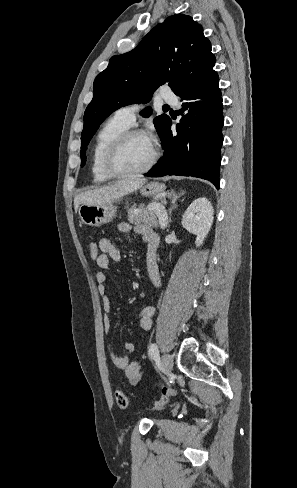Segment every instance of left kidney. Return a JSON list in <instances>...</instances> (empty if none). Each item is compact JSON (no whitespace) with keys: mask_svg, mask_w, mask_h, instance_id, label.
<instances>
[{"mask_svg":"<svg viewBox=\"0 0 297 488\" xmlns=\"http://www.w3.org/2000/svg\"><path fill=\"white\" fill-rule=\"evenodd\" d=\"M214 210L207 198L194 200L183 215L182 226L196 235L195 245L199 247L209 233L213 222Z\"/></svg>","mask_w":297,"mask_h":488,"instance_id":"1","label":"left kidney"}]
</instances>
